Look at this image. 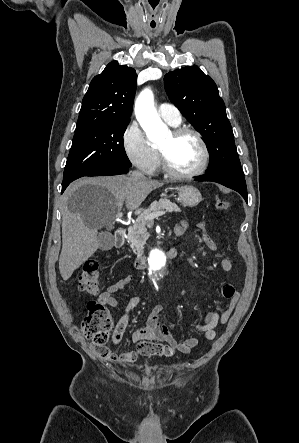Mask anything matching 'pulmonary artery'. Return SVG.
<instances>
[{
    "instance_id": "e3ab8cb5",
    "label": "pulmonary artery",
    "mask_w": 299,
    "mask_h": 443,
    "mask_svg": "<svg viewBox=\"0 0 299 443\" xmlns=\"http://www.w3.org/2000/svg\"><path fill=\"white\" fill-rule=\"evenodd\" d=\"M158 112L161 118L170 125L177 126L181 123V114L174 105L167 103L160 104Z\"/></svg>"
}]
</instances>
